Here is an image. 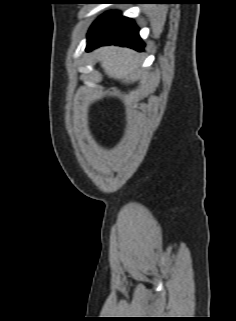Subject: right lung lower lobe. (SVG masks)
Segmentation results:
<instances>
[{
  "instance_id": "1",
  "label": "right lung lower lobe",
  "mask_w": 236,
  "mask_h": 321,
  "mask_svg": "<svg viewBox=\"0 0 236 321\" xmlns=\"http://www.w3.org/2000/svg\"><path fill=\"white\" fill-rule=\"evenodd\" d=\"M138 31L134 21L121 16L120 12L105 13L91 26L86 49L89 51L102 45L114 44L142 51L145 44Z\"/></svg>"
}]
</instances>
